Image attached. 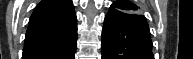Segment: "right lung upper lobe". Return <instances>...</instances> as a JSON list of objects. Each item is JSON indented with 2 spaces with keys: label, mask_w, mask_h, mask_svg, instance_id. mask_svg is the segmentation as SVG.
<instances>
[{
  "label": "right lung upper lobe",
  "mask_w": 193,
  "mask_h": 59,
  "mask_svg": "<svg viewBox=\"0 0 193 59\" xmlns=\"http://www.w3.org/2000/svg\"><path fill=\"white\" fill-rule=\"evenodd\" d=\"M76 31L71 0H42L30 18L23 51L51 48Z\"/></svg>",
  "instance_id": "1"
}]
</instances>
